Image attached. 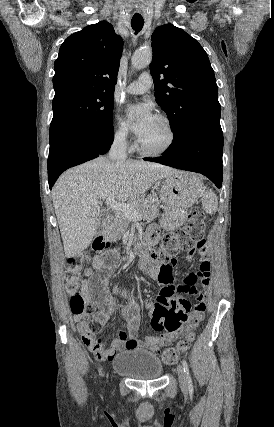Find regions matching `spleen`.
Returning <instances> with one entry per match:
<instances>
[{
  "label": "spleen",
  "instance_id": "obj_1",
  "mask_svg": "<svg viewBox=\"0 0 274 427\" xmlns=\"http://www.w3.org/2000/svg\"><path fill=\"white\" fill-rule=\"evenodd\" d=\"M202 186V180H195V192H197V194H195L193 198L201 196L203 210H205L206 214H215L218 210L217 196L214 192H201Z\"/></svg>",
  "mask_w": 274,
  "mask_h": 427
}]
</instances>
